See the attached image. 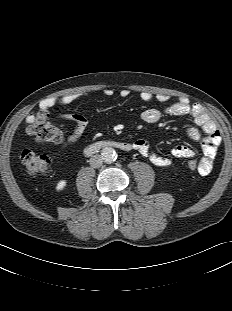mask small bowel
Masks as SVG:
<instances>
[{"label":"small bowel","mask_w":232,"mask_h":311,"mask_svg":"<svg viewBox=\"0 0 232 311\" xmlns=\"http://www.w3.org/2000/svg\"><path fill=\"white\" fill-rule=\"evenodd\" d=\"M103 94L106 97H110L113 91L111 89H104ZM119 94L122 98H126L130 95V90L122 89ZM85 96H87V94L83 92L50 96L42 100L41 108L47 109L55 105H68ZM139 97L145 102L152 101L153 99H157L161 102L170 100V97L166 94L159 93L155 95L150 91H141ZM164 114L172 116H190L193 119L194 126L188 129V135L192 140L200 143L202 148L203 157L199 165V172L202 174L209 173L217 153V147L221 141V133L216 124L207 115L204 108L197 104H190L185 98H180L177 102L170 104L164 110L157 108L144 110L141 114V119L146 123H155L159 121ZM59 119L73 122L75 125L72 132L66 137L63 143L64 146L76 143L81 138L88 125L87 118L79 113L64 114L59 116ZM34 120L35 117L29 115L26 118V123L30 125ZM133 149L147 157L150 162L157 167L164 168L172 164L170 158L153 152L150 149L149 143L144 139L136 140L133 143ZM171 154L176 158H191L195 156L196 152L188 145H176L172 148Z\"/></svg>","instance_id":"small-bowel-1"}]
</instances>
